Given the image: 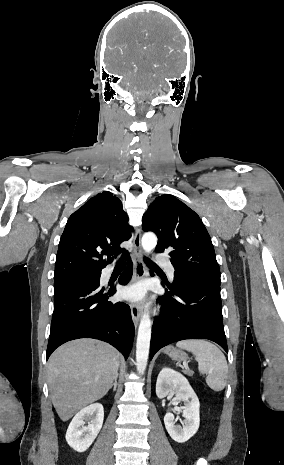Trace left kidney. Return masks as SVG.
Here are the masks:
<instances>
[{
	"instance_id": "1",
	"label": "left kidney",
	"mask_w": 284,
	"mask_h": 465,
	"mask_svg": "<svg viewBox=\"0 0 284 465\" xmlns=\"http://www.w3.org/2000/svg\"><path fill=\"white\" fill-rule=\"evenodd\" d=\"M156 395L158 399H164L167 395H175L177 401L184 403V407H179V409H182L181 413L184 417L183 427L175 425L176 421L173 413H166L164 423L173 441H176V443L189 441L199 429L200 403L187 379L181 373L173 371V369H162L156 383Z\"/></svg>"
}]
</instances>
